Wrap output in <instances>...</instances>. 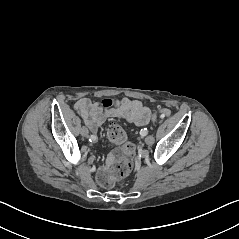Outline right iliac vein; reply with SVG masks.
<instances>
[{
    "label": "right iliac vein",
    "instance_id": "1",
    "mask_svg": "<svg viewBox=\"0 0 239 239\" xmlns=\"http://www.w3.org/2000/svg\"><path fill=\"white\" fill-rule=\"evenodd\" d=\"M80 133L82 136L87 137L89 132H88V129L83 126L80 130Z\"/></svg>",
    "mask_w": 239,
    "mask_h": 239
}]
</instances>
